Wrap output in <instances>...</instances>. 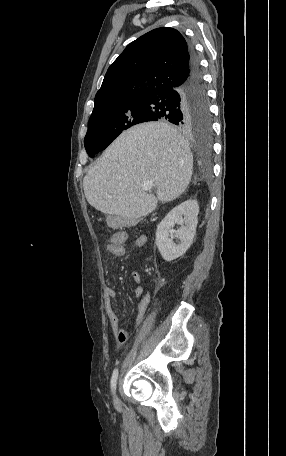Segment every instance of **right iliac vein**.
Returning <instances> with one entry per match:
<instances>
[{"mask_svg": "<svg viewBox=\"0 0 286 456\" xmlns=\"http://www.w3.org/2000/svg\"><path fill=\"white\" fill-rule=\"evenodd\" d=\"M115 403H116V404L118 403V399H117V397H115Z\"/></svg>", "mask_w": 286, "mask_h": 456, "instance_id": "right-iliac-vein-1", "label": "right iliac vein"}]
</instances>
